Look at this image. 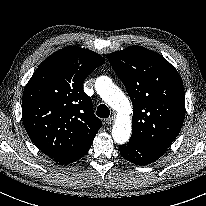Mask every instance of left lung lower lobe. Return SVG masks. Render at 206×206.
Here are the masks:
<instances>
[{"instance_id": "left-lung-lower-lobe-1", "label": "left lung lower lobe", "mask_w": 206, "mask_h": 206, "mask_svg": "<svg viewBox=\"0 0 206 206\" xmlns=\"http://www.w3.org/2000/svg\"><path fill=\"white\" fill-rule=\"evenodd\" d=\"M165 151V149L153 147L134 140H130L127 144L120 146V154L122 157L137 165L150 164L160 158Z\"/></svg>"}]
</instances>
